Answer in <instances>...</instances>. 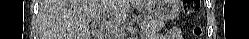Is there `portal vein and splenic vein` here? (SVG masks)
<instances>
[{
    "label": "portal vein and splenic vein",
    "mask_w": 249,
    "mask_h": 39,
    "mask_svg": "<svg viewBox=\"0 0 249 39\" xmlns=\"http://www.w3.org/2000/svg\"><path fill=\"white\" fill-rule=\"evenodd\" d=\"M96 23H97L98 25H100V21H99V20H97ZM100 26H102V25H100ZM118 31H122V30L118 29Z\"/></svg>",
    "instance_id": "obj_1"
}]
</instances>
